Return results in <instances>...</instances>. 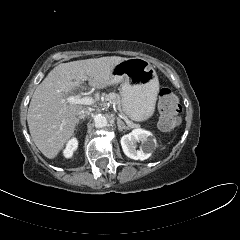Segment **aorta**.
I'll list each match as a JSON object with an SVG mask.
<instances>
[{"label":"aorta","mask_w":240,"mask_h":240,"mask_svg":"<svg viewBox=\"0 0 240 240\" xmlns=\"http://www.w3.org/2000/svg\"><path fill=\"white\" fill-rule=\"evenodd\" d=\"M95 127L103 128L108 125L107 118L104 115L98 114L94 117Z\"/></svg>","instance_id":"762f6f07"}]
</instances>
